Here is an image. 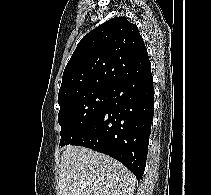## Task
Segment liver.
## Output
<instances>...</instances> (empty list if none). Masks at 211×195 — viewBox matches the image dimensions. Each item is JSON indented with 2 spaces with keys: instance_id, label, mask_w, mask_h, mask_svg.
<instances>
[{
  "instance_id": "obj_1",
  "label": "liver",
  "mask_w": 211,
  "mask_h": 195,
  "mask_svg": "<svg viewBox=\"0 0 211 195\" xmlns=\"http://www.w3.org/2000/svg\"><path fill=\"white\" fill-rule=\"evenodd\" d=\"M136 179L120 162L82 146H66L58 195H133Z\"/></svg>"
}]
</instances>
